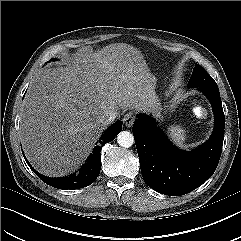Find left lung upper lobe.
<instances>
[{"label":"left lung upper lobe","instance_id":"1","mask_svg":"<svg viewBox=\"0 0 241 241\" xmlns=\"http://www.w3.org/2000/svg\"><path fill=\"white\" fill-rule=\"evenodd\" d=\"M188 87L218 89L214 79L198 64L193 69Z\"/></svg>","mask_w":241,"mask_h":241}]
</instances>
